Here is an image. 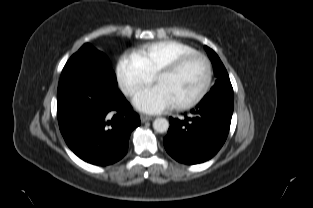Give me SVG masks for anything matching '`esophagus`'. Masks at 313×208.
I'll list each match as a JSON object with an SVG mask.
<instances>
[{
    "label": "esophagus",
    "mask_w": 313,
    "mask_h": 208,
    "mask_svg": "<svg viewBox=\"0 0 313 208\" xmlns=\"http://www.w3.org/2000/svg\"><path fill=\"white\" fill-rule=\"evenodd\" d=\"M140 120H141L142 123H144V122L152 120V117L142 114V115H140Z\"/></svg>",
    "instance_id": "34e87169"
}]
</instances>
